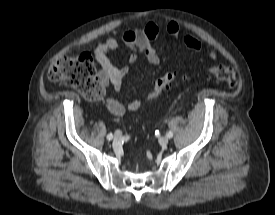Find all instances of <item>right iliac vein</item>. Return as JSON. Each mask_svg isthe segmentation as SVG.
<instances>
[{
	"instance_id": "1",
	"label": "right iliac vein",
	"mask_w": 275,
	"mask_h": 215,
	"mask_svg": "<svg viewBox=\"0 0 275 215\" xmlns=\"http://www.w3.org/2000/svg\"><path fill=\"white\" fill-rule=\"evenodd\" d=\"M114 137L115 139H120L122 137V132L119 130L115 131Z\"/></svg>"
}]
</instances>
